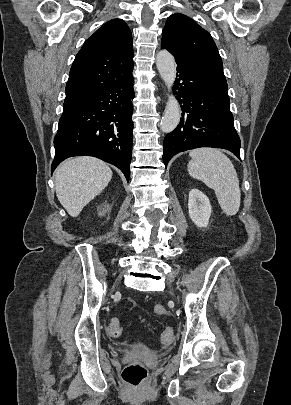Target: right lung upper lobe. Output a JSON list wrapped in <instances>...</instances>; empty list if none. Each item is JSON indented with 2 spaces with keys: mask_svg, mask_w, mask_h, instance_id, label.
<instances>
[{
  "mask_svg": "<svg viewBox=\"0 0 291 405\" xmlns=\"http://www.w3.org/2000/svg\"><path fill=\"white\" fill-rule=\"evenodd\" d=\"M132 34L121 19L101 26L83 44L72 64L64 105H74L87 95L132 75Z\"/></svg>",
  "mask_w": 291,
  "mask_h": 405,
  "instance_id": "right-lung-upper-lobe-1",
  "label": "right lung upper lobe"
}]
</instances>
